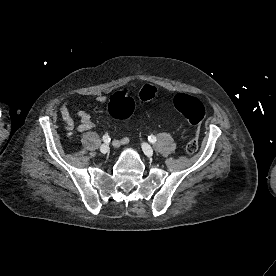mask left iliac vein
Returning <instances> with one entry per match:
<instances>
[{
	"label": "left iliac vein",
	"mask_w": 276,
	"mask_h": 276,
	"mask_svg": "<svg viewBox=\"0 0 276 276\" xmlns=\"http://www.w3.org/2000/svg\"><path fill=\"white\" fill-rule=\"evenodd\" d=\"M142 149L144 151V153L148 156V157H152L153 156V149L152 147L147 144V143H143L142 144Z\"/></svg>",
	"instance_id": "left-iliac-vein-1"
}]
</instances>
